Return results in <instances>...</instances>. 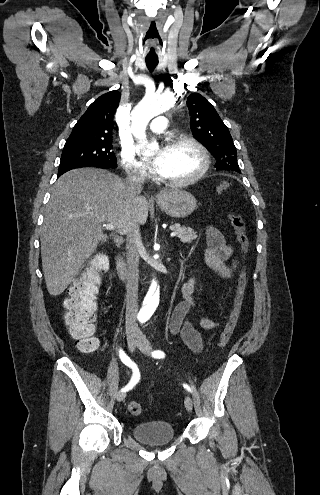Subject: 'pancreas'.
<instances>
[{
	"instance_id": "pancreas-1",
	"label": "pancreas",
	"mask_w": 320,
	"mask_h": 495,
	"mask_svg": "<svg viewBox=\"0 0 320 495\" xmlns=\"http://www.w3.org/2000/svg\"><path fill=\"white\" fill-rule=\"evenodd\" d=\"M170 230L177 233V236L180 238L183 243H191L194 239L198 237L197 232H195L190 227L181 226L176 223L170 226Z\"/></svg>"
}]
</instances>
